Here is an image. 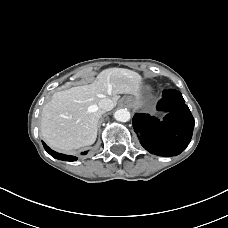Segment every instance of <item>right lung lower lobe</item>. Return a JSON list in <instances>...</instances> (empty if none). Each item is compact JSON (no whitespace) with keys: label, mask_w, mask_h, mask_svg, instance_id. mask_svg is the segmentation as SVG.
Segmentation results:
<instances>
[{"label":"right lung lower lobe","mask_w":228,"mask_h":228,"mask_svg":"<svg viewBox=\"0 0 228 228\" xmlns=\"http://www.w3.org/2000/svg\"><path fill=\"white\" fill-rule=\"evenodd\" d=\"M43 143V146L45 148V150L54 158L56 159H60V160H64V161H75L77 160V157L75 156H69V155H64V154H61V153H57L53 150H51L44 142ZM82 154H87V151L82 153Z\"/></svg>","instance_id":"right-lung-lower-lobe-1"}]
</instances>
